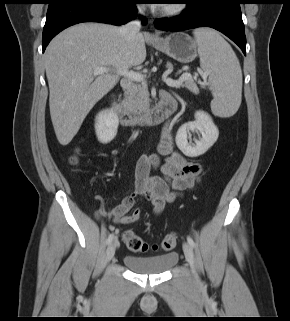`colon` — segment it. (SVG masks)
Listing matches in <instances>:
<instances>
[{
    "label": "colon",
    "mask_w": 290,
    "mask_h": 321,
    "mask_svg": "<svg viewBox=\"0 0 290 321\" xmlns=\"http://www.w3.org/2000/svg\"><path fill=\"white\" fill-rule=\"evenodd\" d=\"M70 161L71 163L76 164L78 159L76 156H73L71 157ZM138 218L139 211L135 210L127 216L126 222L132 223L135 222ZM122 239L128 249L134 252H147L150 249L157 250L158 248L162 249L163 251H170L175 247L177 241V237L174 233H168L164 236L159 244L150 245L132 230L124 231L122 234Z\"/></svg>",
    "instance_id": "colon-1"
}]
</instances>
